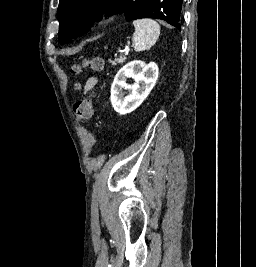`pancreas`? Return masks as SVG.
Wrapping results in <instances>:
<instances>
[{
	"instance_id": "1",
	"label": "pancreas",
	"mask_w": 256,
	"mask_h": 267,
	"mask_svg": "<svg viewBox=\"0 0 256 267\" xmlns=\"http://www.w3.org/2000/svg\"><path fill=\"white\" fill-rule=\"evenodd\" d=\"M117 64H123V62H125V56H121V58H119V60H116ZM114 66H116V64H114Z\"/></svg>"
}]
</instances>
